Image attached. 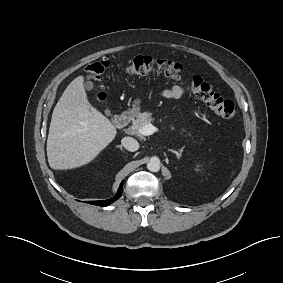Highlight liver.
Here are the masks:
<instances>
[{"mask_svg": "<svg viewBox=\"0 0 283 283\" xmlns=\"http://www.w3.org/2000/svg\"><path fill=\"white\" fill-rule=\"evenodd\" d=\"M75 78L56 104L47 139V157L54 170L81 167L93 161L116 137L111 121L95 109Z\"/></svg>", "mask_w": 283, "mask_h": 283, "instance_id": "1", "label": "liver"}]
</instances>
